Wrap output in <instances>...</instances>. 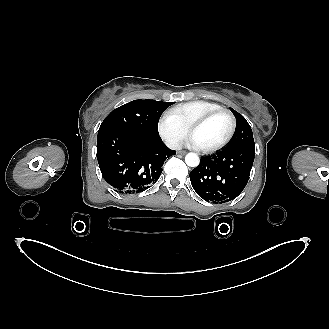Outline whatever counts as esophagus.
<instances>
[{
  "label": "esophagus",
  "instance_id": "34e87169",
  "mask_svg": "<svg viewBox=\"0 0 329 329\" xmlns=\"http://www.w3.org/2000/svg\"><path fill=\"white\" fill-rule=\"evenodd\" d=\"M178 153L181 154V155H185L187 152L186 151H179Z\"/></svg>",
  "mask_w": 329,
  "mask_h": 329
}]
</instances>
